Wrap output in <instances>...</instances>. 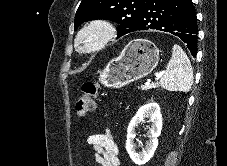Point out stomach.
<instances>
[{
  "label": "stomach",
  "instance_id": "1",
  "mask_svg": "<svg viewBox=\"0 0 227 166\" xmlns=\"http://www.w3.org/2000/svg\"><path fill=\"white\" fill-rule=\"evenodd\" d=\"M159 61V49L147 39H134L100 73V82L121 88L150 74Z\"/></svg>",
  "mask_w": 227,
  "mask_h": 166
}]
</instances>
